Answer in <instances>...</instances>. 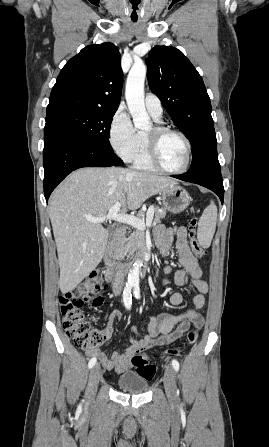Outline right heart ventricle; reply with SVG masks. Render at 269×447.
<instances>
[{
  "mask_svg": "<svg viewBox=\"0 0 269 447\" xmlns=\"http://www.w3.org/2000/svg\"><path fill=\"white\" fill-rule=\"evenodd\" d=\"M131 161L133 163V166L139 169L144 170L156 169L148 160L146 135L141 132H138L137 148Z\"/></svg>",
  "mask_w": 269,
  "mask_h": 447,
  "instance_id": "obj_1",
  "label": "right heart ventricle"
}]
</instances>
